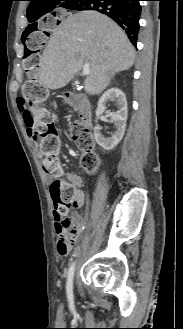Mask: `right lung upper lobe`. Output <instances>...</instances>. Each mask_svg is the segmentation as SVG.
<instances>
[{"label":"right lung upper lobe","instance_id":"1","mask_svg":"<svg viewBox=\"0 0 183 329\" xmlns=\"http://www.w3.org/2000/svg\"><path fill=\"white\" fill-rule=\"evenodd\" d=\"M30 4L27 9V17L29 22H35L42 15L48 13L46 10L54 5L55 3H59V5H66L68 2L72 0H29ZM32 24H36L32 23Z\"/></svg>","mask_w":183,"mask_h":329}]
</instances>
